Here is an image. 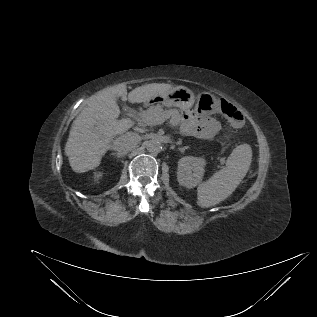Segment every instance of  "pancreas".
Returning <instances> with one entry per match:
<instances>
[{
	"mask_svg": "<svg viewBox=\"0 0 317 317\" xmlns=\"http://www.w3.org/2000/svg\"><path fill=\"white\" fill-rule=\"evenodd\" d=\"M163 112V108L161 105L151 106L145 111H142L140 113V117L144 124L146 125H152L149 123V119L157 116L158 114Z\"/></svg>",
	"mask_w": 317,
	"mask_h": 317,
	"instance_id": "1",
	"label": "pancreas"
}]
</instances>
